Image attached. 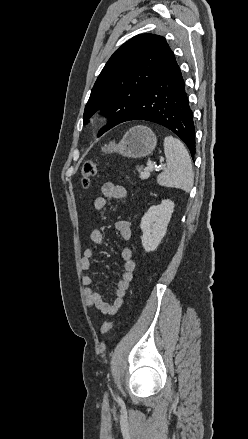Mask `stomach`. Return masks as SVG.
I'll list each match as a JSON object with an SVG mask.
<instances>
[{
    "label": "stomach",
    "mask_w": 248,
    "mask_h": 439,
    "mask_svg": "<svg viewBox=\"0 0 248 439\" xmlns=\"http://www.w3.org/2000/svg\"><path fill=\"white\" fill-rule=\"evenodd\" d=\"M157 137L146 126H135L125 133L116 145H108L107 153H119L129 158H142L150 154L156 147Z\"/></svg>",
    "instance_id": "0dacf381"
}]
</instances>
